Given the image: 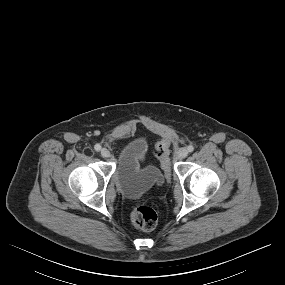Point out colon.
Listing matches in <instances>:
<instances>
[{
    "instance_id": "1",
    "label": "colon",
    "mask_w": 285,
    "mask_h": 285,
    "mask_svg": "<svg viewBox=\"0 0 285 285\" xmlns=\"http://www.w3.org/2000/svg\"><path fill=\"white\" fill-rule=\"evenodd\" d=\"M169 142H161L155 149L154 154L160 160L161 166L167 177L170 176L171 167L168 160ZM157 214L153 208L148 205L137 206L131 213V222L135 228L143 231H149L157 225Z\"/></svg>"
}]
</instances>
